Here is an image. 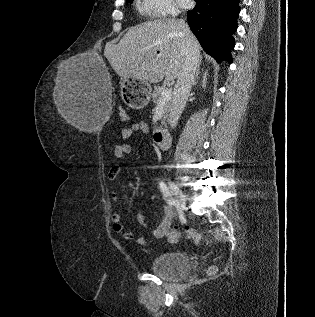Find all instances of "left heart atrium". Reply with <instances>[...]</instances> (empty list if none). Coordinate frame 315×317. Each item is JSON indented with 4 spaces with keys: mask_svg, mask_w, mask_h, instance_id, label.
I'll use <instances>...</instances> for the list:
<instances>
[{
    "mask_svg": "<svg viewBox=\"0 0 315 317\" xmlns=\"http://www.w3.org/2000/svg\"><path fill=\"white\" fill-rule=\"evenodd\" d=\"M177 1L182 7H189L192 3V0H177Z\"/></svg>",
    "mask_w": 315,
    "mask_h": 317,
    "instance_id": "obj_1",
    "label": "left heart atrium"
}]
</instances>
